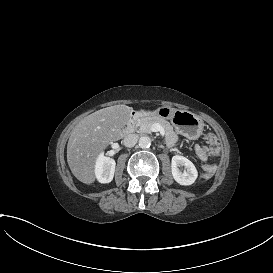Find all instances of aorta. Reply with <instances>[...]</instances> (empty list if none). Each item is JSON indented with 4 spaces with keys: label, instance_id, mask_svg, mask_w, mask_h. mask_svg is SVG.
I'll return each mask as SVG.
<instances>
[{
    "label": "aorta",
    "instance_id": "762f6f07",
    "mask_svg": "<svg viewBox=\"0 0 273 273\" xmlns=\"http://www.w3.org/2000/svg\"><path fill=\"white\" fill-rule=\"evenodd\" d=\"M151 145V139L148 136H142L139 139V147L142 149L149 148Z\"/></svg>",
    "mask_w": 273,
    "mask_h": 273
}]
</instances>
